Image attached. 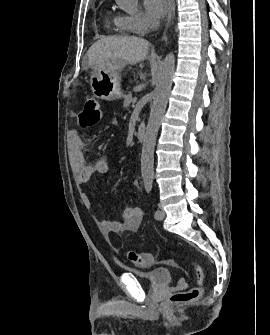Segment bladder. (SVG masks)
Instances as JSON below:
<instances>
[{
  "label": "bladder",
  "instance_id": "31cf9c89",
  "mask_svg": "<svg viewBox=\"0 0 270 335\" xmlns=\"http://www.w3.org/2000/svg\"><path fill=\"white\" fill-rule=\"evenodd\" d=\"M131 273L136 275L138 279L149 282L151 286L155 285L156 287H160L169 285L173 270L168 268H155L148 273H140L137 271H131Z\"/></svg>",
  "mask_w": 270,
  "mask_h": 335
}]
</instances>
